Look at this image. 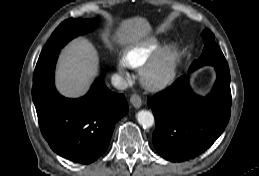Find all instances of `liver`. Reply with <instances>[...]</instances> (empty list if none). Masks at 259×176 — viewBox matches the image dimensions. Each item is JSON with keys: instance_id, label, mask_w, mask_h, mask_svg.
<instances>
[{"instance_id": "liver-1", "label": "liver", "mask_w": 259, "mask_h": 176, "mask_svg": "<svg viewBox=\"0 0 259 176\" xmlns=\"http://www.w3.org/2000/svg\"><path fill=\"white\" fill-rule=\"evenodd\" d=\"M151 31L149 22L142 17L122 21L117 32L122 44L137 43ZM99 60L93 45L84 38L71 41L63 50L56 70V86L64 96H82L98 73Z\"/></svg>"}]
</instances>
